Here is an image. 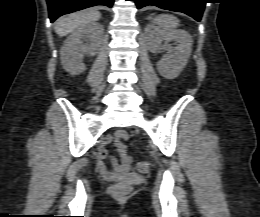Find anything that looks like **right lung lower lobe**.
Instances as JSON below:
<instances>
[{
	"label": "right lung lower lobe",
	"mask_w": 260,
	"mask_h": 217,
	"mask_svg": "<svg viewBox=\"0 0 260 217\" xmlns=\"http://www.w3.org/2000/svg\"><path fill=\"white\" fill-rule=\"evenodd\" d=\"M114 0H47L51 22L59 16L95 5L112 7Z\"/></svg>",
	"instance_id": "1"
}]
</instances>
